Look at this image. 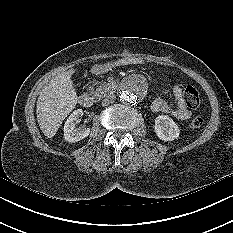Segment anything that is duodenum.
Returning <instances> with one entry per match:
<instances>
[{
    "instance_id": "410a0bca",
    "label": "duodenum",
    "mask_w": 233,
    "mask_h": 233,
    "mask_svg": "<svg viewBox=\"0 0 233 233\" xmlns=\"http://www.w3.org/2000/svg\"><path fill=\"white\" fill-rule=\"evenodd\" d=\"M117 90H118V87L115 84H112L107 87H97L90 94L84 93L80 95L78 98V102L80 106L88 108L92 104L105 99L107 95L117 92Z\"/></svg>"
}]
</instances>
